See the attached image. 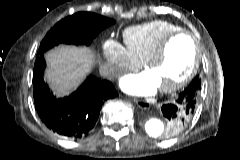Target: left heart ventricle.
Instances as JSON below:
<instances>
[{
	"instance_id": "left-heart-ventricle-1",
	"label": "left heart ventricle",
	"mask_w": 240,
	"mask_h": 160,
	"mask_svg": "<svg viewBox=\"0 0 240 160\" xmlns=\"http://www.w3.org/2000/svg\"><path fill=\"white\" fill-rule=\"evenodd\" d=\"M194 57L192 41L187 36H178L168 44L162 58L148 67L146 73L158 88L167 86L187 75Z\"/></svg>"
}]
</instances>
